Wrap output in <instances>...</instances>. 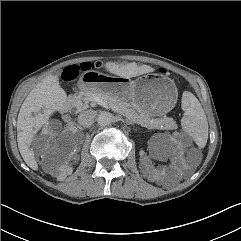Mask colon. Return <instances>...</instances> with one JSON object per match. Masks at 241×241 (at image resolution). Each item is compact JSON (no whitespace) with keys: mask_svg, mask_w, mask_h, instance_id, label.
Returning a JSON list of instances; mask_svg holds the SVG:
<instances>
[{"mask_svg":"<svg viewBox=\"0 0 241 241\" xmlns=\"http://www.w3.org/2000/svg\"><path fill=\"white\" fill-rule=\"evenodd\" d=\"M94 68V65L91 63H83L80 67V69L83 72H88L90 70H92ZM162 73L165 72V70H161ZM78 75V69L77 67H67L65 68V70L62 73V78L63 80L69 81V80H73L77 77Z\"/></svg>","mask_w":241,"mask_h":241,"instance_id":"colon-1","label":"colon"}]
</instances>
